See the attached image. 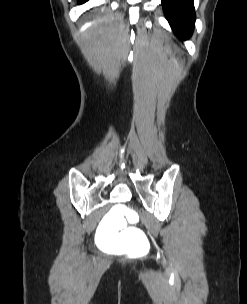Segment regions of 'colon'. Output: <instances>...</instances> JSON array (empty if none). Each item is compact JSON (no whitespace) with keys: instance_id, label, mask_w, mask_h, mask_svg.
Instances as JSON below:
<instances>
[{"instance_id":"obj_1","label":"colon","mask_w":247,"mask_h":304,"mask_svg":"<svg viewBox=\"0 0 247 304\" xmlns=\"http://www.w3.org/2000/svg\"><path fill=\"white\" fill-rule=\"evenodd\" d=\"M139 219L127 202H118L107 210L94 233L101 253H134L135 259H144L150 243L142 225H134Z\"/></svg>"}]
</instances>
